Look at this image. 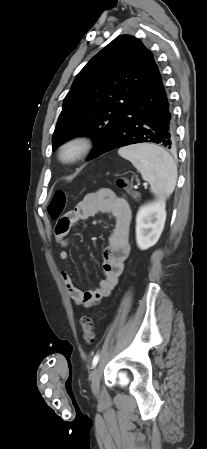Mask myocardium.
Masks as SVG:
<instances>
[{"label": "myocardium", "instance_id": "1", "mask_svg": "<svg viewBox=\"0 0 207 449\" xmlns=\"http://www.w3.org/2000/svg\"><path fill=\"white\" fill-rule=\"evenodd\" d=\"M93 149L92 139L84 134L74 135L58 148L57 157L63 164H73L87 157Z\"/></svg>", "mask_w": 207, "mask_h": 449}]
</instances>
